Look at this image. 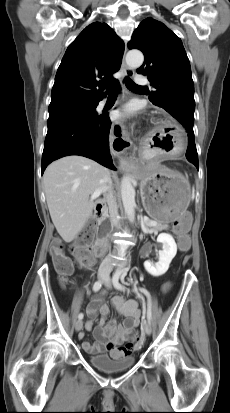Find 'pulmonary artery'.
Wrapping results in <instances>:
<instances>
[{"label":"pulmonary artery","instance_id":"e3ab8cb5","mask_svg":"<svg viewBox=\"0 0 230 413\" xmlns=\"http://www.w3.org/2000/svg\"><path fill=\"white\" fill-rule=\"evenodd\" d=\"M136 83L139 85H144V84H148L149 80L146 76L140 74V75H137L136 77ZM104 104H105V101H101L99 104V107H103Z\"/></svg>","mask_w":230,"mask_h":413}]
</instances>
